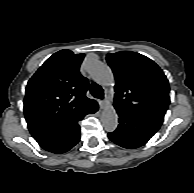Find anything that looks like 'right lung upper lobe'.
Instances as JSON below:
<instances>
[{
    "instance_id": "1",
    "label": "right lung upper lobe",
    "mask_w": 194,
    "mask_h": 193,
    "mask_svg": "<svg viewBox=\"0 0 194 193\" xmlns=\"http://www.w3.org/2000/svg\"><path fill=\"white\" fill-rule=\"evenodd\" d=\"M84 54L61 50L48 58L29 80L24 113L30 132L46 129L88 110V80L79 73Z\"/></svg>"
}]
</instances>
